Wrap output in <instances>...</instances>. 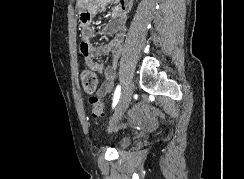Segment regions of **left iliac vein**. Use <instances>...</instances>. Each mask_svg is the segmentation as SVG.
Returning a JSON list of instances; mask_svg holds the SVG:
<instances>
[{
  "label": "left iliac vein",
  "mask_w": 244,
  "mask_h": 179,
  "mask_svg": "<svg viewBox=\"0 0 244 179\" xmlns=\"http://www.w3.org/2000/svg\"><path fill=\"white\" fill-rule=\"evenodd\" d=\"M133 91L134 84L130 81L124 86L122 90L119 104L108 124L109 129L112 128L121 119L124 112L127 110L129 103L131 102L133 97Z\"/></svg>",
  "instance_id": "obj_1"
}]
</instances>
